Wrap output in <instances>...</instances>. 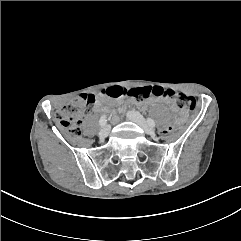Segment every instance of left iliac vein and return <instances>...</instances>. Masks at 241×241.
Masks as SVG:
<instances>
[{
    "label": "left iliac vein",
    "mask_w": 241,
    "mask_h": 241,
    "mask_svg": "<svg viewBox=\"0 0 241 241\" xmlns=\"http://www.w3.org/2000/svg\"><path fill=\"white\" fill-rule=\"evenodd\" d=\"M127 116L130 120H132L138 126H140L146 134L148 135L154 134V129L146 122V120L143 118V116L140 113L136 111H129L127 113Z\"/></svg>",
    "instance_id": "obj_1"
}]
</instances>
